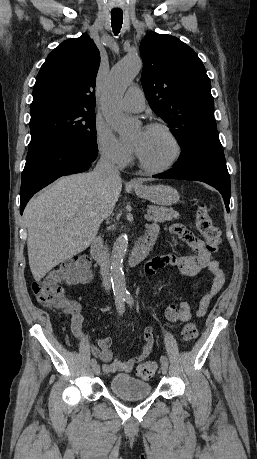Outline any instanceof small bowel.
<instances>
[{
    "label": "small bowel",
    "instance_id": "obj_1",
    "mask_svg": "<svg viewBox=\"0 0 257 459\" xmlns=\"http://www.w3.org/2000/svg\"><path fill=\"white\" fill-rule=\"evenodd\" d=\"M159 231L157 224H151L147 231ZM170 232L186 244L192 251L189 255H163L151 259L145 266V271L149 275L158 274L165 267L176 268L183 277H193L202 271L208 270L213 275V282L209 290L201 298L196 315L202 317L206 314L212 298L222 289L225 283V276L220 268L219 263L213 258L210 250L205 246L196 235L182 224L175 223L171 225ZM69 283L73 281L67 280ZM76 313L71 315V331L78 339H83L82 324L84 321L81 313L82 306L76 301H72ZM165 316L168 321L187 322L192 317V307L189 302L181 301L170 303L165 309ZM144 344L141 352L134 358L121 360L113 355L111 350L112 341L109 337L99 338L97 346H92V354L103 362V371L105 374L115 372H130L134 365L146 359L153 350L154 331L152 327L144 330Z\"/></svg>",
    "mask_w": 257,
    "mask_h": 459
}]
</instances>
